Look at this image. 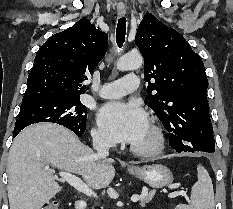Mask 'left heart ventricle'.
<instances>
[{
  "instance_id": "obj_1",
  "label": "left heart ventricle",
  "mask_w": 233,
  "mask_h": 209,
  "mask_svg": "<svg viewBox=\"0 0 233 209\" xmlns=\"http://www.w3.org/2000/svg\"><path fill=\"white\" fill-rule=\"evenodd\" d=\"M152 133L149 127V124L147 126V128L145 129L144 133L141 135V137L134 142L133 144L136 146H140V147H144L149 145L152 142Z\"/></svg>"
}]
</instances>
